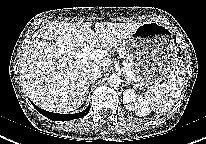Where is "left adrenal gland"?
<instances>
[{"mask_svg":"<svg viewBox=\"0 0 206 144\" xmlns=\"http://www.w3.org/2000/svg\"><path fill=\"white\" fill-rule=\"evenodd\" d=\"M126 84H130V80L128 78H126Z\"/></svg>","mask_w":206,"mask_h":144,"instance_id":"obj_1","label":"left adrenal gland"}]
</instances>
